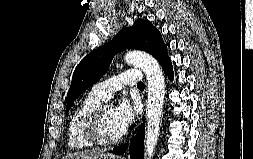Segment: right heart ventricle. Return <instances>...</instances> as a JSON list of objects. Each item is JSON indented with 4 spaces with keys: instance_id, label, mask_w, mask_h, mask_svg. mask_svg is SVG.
I'll return each instance as SVG.
<instances>
[{
    "instance_id": "right-heart-ventricle-1",
    "label": "right heart ventricle",
    "mask_w": 253,
    "mask_h": 159,
    "mask_svg": "<svg viewBox=\"0 0 253 159\" xmlns=\"http://www.w3.org/2000/svg\"><path fill=\"white\" fill-rule=\"evenodd\" d=\"M103 99L90 92L75 107L67 125V141L70 149L85 150L92 147L85 137V124L93 110Z\"/></svg>"
}]
</instances>
